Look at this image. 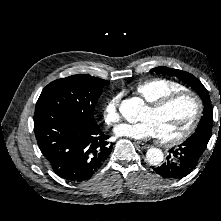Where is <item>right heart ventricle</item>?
Returning <instances> with one entry per match:
<instances>
[{"mask_svg":"<svg viewBox=\"0 0 221 221\" xmlns=\"http://www.w3.org/2000/svg\"><path fill=\"white\" fill-rule=\"evenodd\" d=\"M186 90V88L173 80L167 78H152L139 82L134 87V92L141 96L147 103L178 91Z\"/></svg>","mask_w":221,"mask_h":221,"instance_id":"obj_1","label":"right heart ventricle"}]
</instances>
